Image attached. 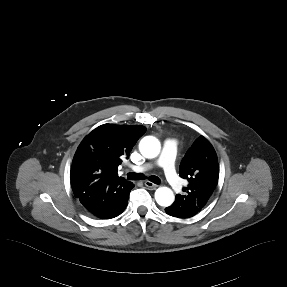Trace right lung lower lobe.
Here are the masks:
<instances>
[{"label": "right lung lower lobe", "mask_w": 287, "mask_h": 287, "mask_svg": "<svg viewBox=\"0 0 287 287\" xmlns=\"http://www.w3.org/2000/svg\"><path fill=\"white\" fill-rule=\"evenodd\" d=\"M132 188L133 184L124 178L97 180L90 184L79 201L91 215L111 219L123 212Z\"/></svg>", "instance_id": "98d812e1"}]
</instances>
